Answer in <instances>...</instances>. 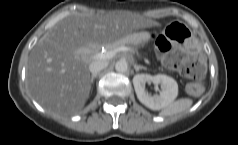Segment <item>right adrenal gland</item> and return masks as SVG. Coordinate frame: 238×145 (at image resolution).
Listing matches in <instances>:
<instances>
[{
  "label": "right adrenal gland",
  "instance_id": "2a0ac1e0",
  "mask_svg": "<svg viewBox=\"0 0 238 145\" xmlns=\"http://www.w3.org/2000/svg\"><path fill=\"white\" fill-rule=\"evenodd\" d=\"M97 77V74H93L92 76H91V83H93V81H94V79Z\"/></svg>",
  "mask_w": 238,
  "mask_h": 145
}]
</instances>
